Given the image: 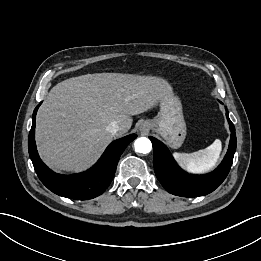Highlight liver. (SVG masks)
I'll use <instances>...</instances> for the list:
<instances>
[{
	"mask_svg": "<svg viewBox=\"0 0 261 261\" xmlns=\"http://www.w3.org/2000/svg\"><path fill=\"white\" fill-rule=\"evenodd\" d=\"M172 96L162 78L96 73L55 85L36 119V143L42 160L55 171L80 172L91 166L111 142L106 128L116 121L118 136L141 114Z\"/></svg>",
	"mask_w": 261,
	"mask_h": 261,
	"instance_id": "1",
	"label": "liver"
}]
</instances>
